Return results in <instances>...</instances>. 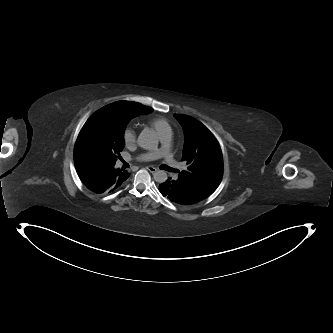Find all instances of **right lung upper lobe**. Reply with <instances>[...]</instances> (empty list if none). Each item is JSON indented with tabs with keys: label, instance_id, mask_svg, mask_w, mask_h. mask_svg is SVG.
<instances>
[{
	"label": "right lung upper lobe",
	"instance_id": "right-lung-upper-lobe-1",
	"mask_svg": "<svg viewBox=\"0 0 333 333\" xmlns=\"http://www.w3.org/2000/svg\"><path fill=\"white\" fill-rule=\"evenodd\" d=\"M112 109H116L119 111H129L136 116L142 115V114H149L153 111L150 107L143 106L140 103L136 102H130V101H118L112 104L108 105Z\"/></svg>",
	"mask_w": 333,
	"mask_h": 333
}]
</instances>
